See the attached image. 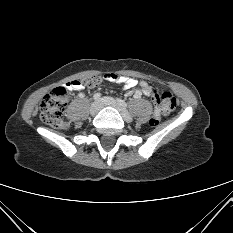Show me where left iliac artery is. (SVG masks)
<instances>
[{"label":"left iliac artery","instance_id":"1","mask_svg":"<svg viewBox=\"0 0 233 233\" xmlns=\"http://www.w3.org/2000/svg\"><path fill=\"white\" fill-rule=\"evenodd\" d=\"M117 102L124 108H127V103L121 99H117Z\"/></svg>","mask_w":233,"mask_h":233}]
</instances>
